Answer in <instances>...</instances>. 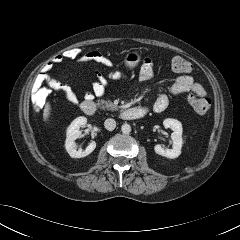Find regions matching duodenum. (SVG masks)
Wrapping results in <instances>:
<instances>
[{
    "label": "duodenum",
    "instance_id": "duodenum-1",
    "mask_svg": "<svg viewBox=\"0 0 240 240\" xmlns=\"http://www.w3.org/2000/svg\"><path fill=\"white\" fill-rule=\"evenodd\" d=\"M81 110L87 114V115H92L96 111V105L93 101L91 100H85L81 103ZM147 111L143 107H130L123 109L120 112V117L123 120H137L146 115Z\"/></svg>",
    "mask_w": 240,
    "mask_h": 240
}]
</instances>
